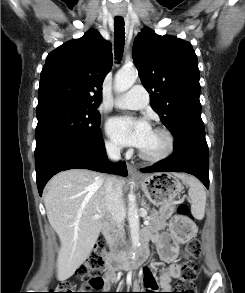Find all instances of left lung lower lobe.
Returning a JSON list of instances; mask_svg holds the SVG:
<instances>
[{"mask_svg": "<svg viewBox=\"0 0 245 293\" xmlns=\"http://www.w3.org/2000/svg\"><path fill=\"white\" fill-rule=\"evenodd\" d=\"M174 152L171 156L142 172L176 171L196 176L209 188V154L205 134L181 133L174 136Z\"/></svg>", "mask_w": 245, "mask_h": 293, "instance_id": "1", "label": "left lung lower lobe"}]
</instances>
